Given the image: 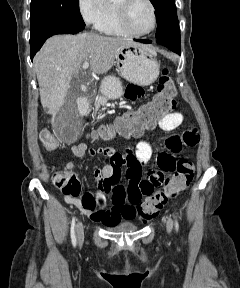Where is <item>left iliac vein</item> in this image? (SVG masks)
Listing matches in <instances>:
<instances>
[{
	"label": "left iliac vein",
	"mask_w": 240,
	"mask_h": 288,
	"mask_svg": "<svg viewBox=\"0 0 240 288\" xmlns=\"http://www.w3.org/2000/svg\"><path fill=\"white\" fill-rule=\"evenodd\" d=\"M166 228H167V232L171 233V231L173 229V221L170 217L167 218Z\"/></svg>",
	"instance_id": "1"
}]
</instances>
